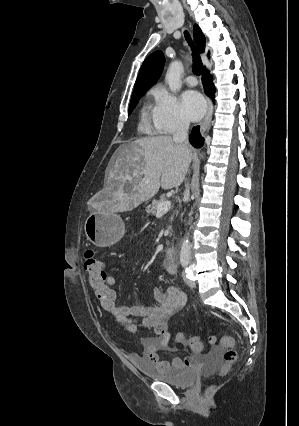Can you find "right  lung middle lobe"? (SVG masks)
Listing matches in <instances>:
<instances>
[{
  "label": "right lung middle lobe",
  "instance_id": "obj_1",
  "mask_svg": "<svg viewBox=\"0 0 299 426\" xmlns=\"http://www.w3.org/2000/svg\"><path fill=\"white\" fill-rule=\"evenodd\" d=\"M146 91H139V92H134L132 94V98H131V102H130V107H129V114L133 111V109L136 107L139 99L145 94Z\"/></svg>",
  "mask_w": 299,
  "mask_h": 426
}]
</instances>
